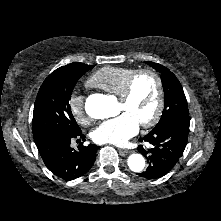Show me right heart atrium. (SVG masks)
<instances>
[{
    "label": "right heart atrium",
    "instance_id": "right-heart-atrium-1",
    "mask_svg": "<svg viewBox=\"0 0 221 221\" xmlns=\"http://www.w3.org/2000/svg\"><path fill=\"white\" fill-rule=\"evenodd\" d=\"M68 108L75 120L81 125H88L91 117L85 109L84 96L73 90L68 97Z\"/></svg>",
    "mask_w": 221,
    "mask_h": 221
}]
</instances>
